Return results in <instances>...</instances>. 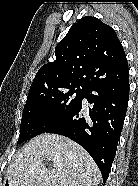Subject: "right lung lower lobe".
Wrapping results in <instances>:
<instances>
[{"label": "right lung lower lobe", "mask_w": 138, "mask_h": 186, "mask_svg": "<svg viewBox=\"0 0 138 186\" xmlns=\"http://www.w3.org/2000/svg\"><path fill=\"white\" fill-rule=\"evenodd\" d=\"M83 98L91 104L86 114L81 101L46 133L60 134L80 144L94 159L106 182L127 111L129 79L87 87Z\"/></svg>", "instance_id": "1"}]
</instances>
